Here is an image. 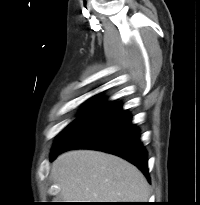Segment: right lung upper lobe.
Returning <instances> with one entry per match:
<instances>
[{
  "label": "right lung upper lobe",
  "mask_w": 200,
  "mask_h": 205,
  "mask_svg": "<svg viewBox=\"0 0 200 205\" xmlns=\"http://www.w3.org/2000/svg\"><path fill=\"white\" fill-rule=\"evenodd\" d=\"M91 99H93V98H91ZM98 99H93V101H97ZM103 100V99H102Z\"/></svg>",
  "instance_id": "right-lung-upper-lobe-1"
}]
</instances>
